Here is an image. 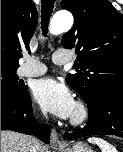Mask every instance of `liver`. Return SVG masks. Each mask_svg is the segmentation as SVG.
Listing matches in <instances>:
<instances>
[{"mask_svg": "<svg viewBox=\"0 0 123 152\" xmlns=\"http://www.w3.org/2000/svg\"><path fill=\"white\" fill-rule=\"evenodd\" d=\"M30 137L13 132L1 131V152H28ZM37 152H44L45 148L38 140H33Z\"/></svg>", "mask_w": 123, "mask_h": 152, "instance_id": "6515ba94", "label": "liver"}]
</instances>
